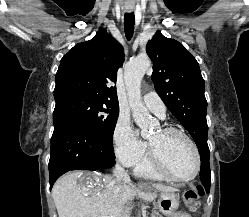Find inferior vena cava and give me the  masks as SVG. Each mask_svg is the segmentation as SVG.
Returning a JSON list of instances; mask_svg holds the SVG:
<instances>
[{
  "mask_svg": "<svg viewBox=\"0 0 249 217\" xmlns=\"http://www.w3.org/2000/svg\"><path fill=\"white\" fill-rule=\"evenodd\" d=\"M113 175H114V178L116 179V181H118V182L121 180H125V181L130 180L128 173L119 164H116V166L113 170ZM119 192H120V186H117L115 191H114L115 197L118 196Z\"/></svg>",
  "mask_w": 249,
  "mask_h": 217,
  "instance_id": "inferior-vena-cava-1",
  "label": "inferior vena cava"
}]
</instances>
